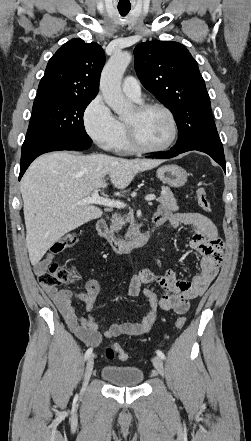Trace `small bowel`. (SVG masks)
<instances>
[{"label":"small bowel","instance_id":"c3829d8e","mask_svg":"<svg viewBox=\"0 0 251 441\" xmlns=\"http://www.w3.org/2000/svg\"><path fill=\"white\" fill-rule=\"evenodd\" d=\"M153 219L159 225L168 222L174 229L180 225L190 228L192 232L190 247L202 254L200 272L188 281L179 278L172 269H167L160 274L148 269L141 271L129 281V296H138L141 286L150 283H156L162 288V296L158 298L153 290H144L143 294L149 301V308L142 320L113 324L105 331L100 330L93 315L100 290L96 280H88L82 292L59 289L50 285L43 286V290L53 300L68 327L85 344L98 347L104 339L120 335H144L150 331L156 321L159 309L173 311L178 315L185 314L189 309L190 301L200 297L215 279L222 256V243L215 225L209 218L198 213H171L167 208L161 207L154 214ZM50 261L51 257L43 259L36 264V270H45ZM72 269L79 277L78 271L75 268ZM74 299H79L84 303L83 315L77 314L73 306Z\"/></svg>","mask_w":251,"mask_h":441}]
</instances>
